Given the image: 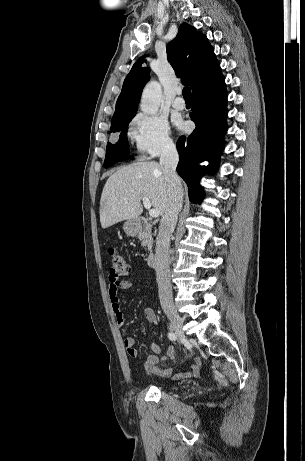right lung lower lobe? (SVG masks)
<instances>
[{
    "label": "right lung lower lobe",
    "mask_w": 305,
    "mask_h": 461,
    "mask_svg": "<svg viewBox=\"0 0 305 461\" xmlns=\"http://www.w3.org/2000/svg\"><path fill=\"white\" fill-rule=\"evenodd\" d=\"M222 73L204 83L193 92L194 103L191 120L195 130L188 137L181 136L177 142L179 153L178 174L188 186L192 202L201 203L203 192L199 184L205 173L217 170L224 149V134L227 131V94ZM207 160V167L199 163Z\"/></svg>",
    "instance_id": "right-lung-lower-lobe-1"
}]
</instances>
